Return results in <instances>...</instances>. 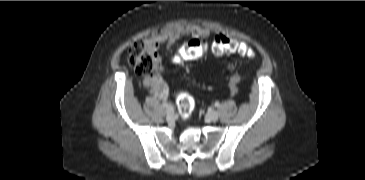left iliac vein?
<instances>
[{"label":"left iliac vein","instance_id":"4c4485c4","mask_svg":"<svg viewBox=\"0 0 365 180\" xmlns=\"http://www.w3.org/2000/svg\"><path fill=\"white\" fill-rule=\"evenodd\" d=\"M207 117H208V119H209L210 121L215 122V121H217V120H218L219 115H218V113H217L216 111L211 110V111H209V112L207 113Z\"/></svg>","mask_w":365,"mask_h":180}]
</instances>
